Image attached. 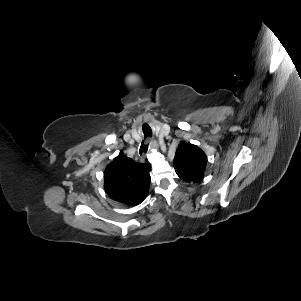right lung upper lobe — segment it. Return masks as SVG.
<instances>
[{
  "label": "right lung upper lobe",
  "instance_id": "obj_1",
  "mask_svg": "<svg viewBox=\"0 0 301 301\" xmlns=\"http://www.w3.org/2000/svg\"><path fill=\"white\" fill-rule=\"evenodd\" d=\"M150 170L149 163H137L119 154L105 170L104 188L113 200L130 206L138 205L148 194Z\"/></svg>",
  "mask_w": 301,
  "mask_h": 301
}]
</instances>
